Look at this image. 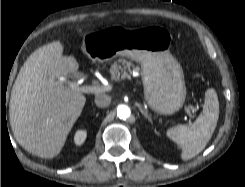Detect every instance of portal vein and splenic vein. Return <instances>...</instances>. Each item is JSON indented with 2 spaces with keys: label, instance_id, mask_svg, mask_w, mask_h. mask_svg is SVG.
Masks as SVG:
<instances>
[{
  "label": "portal vein and splenic vein",
  "instance_id": "1",
  "mask_svg": "<svg viewBox=\"0 0 245 187\" xmlns=\"http://www.w3.org/2000/svg\"><path fill=\"white\" fill-rule=\"evenodd\" d=\"M128 78L130 79V76L128 74L124 75V79ZM60 81L65 82L63 79H60ZM68 86L75 91H79L82 93H93V92H101V91H109L111 90L112 86H79V83L76 81H68ZM185 112L189 116V121L191 122V119L193 118L192 112L190 108H185Z\"/></svg>",
  "mask_w": 245,
  "mask_h": 187
}]
</instances>
